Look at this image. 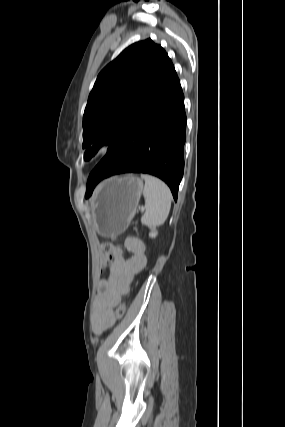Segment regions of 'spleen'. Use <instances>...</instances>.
<instances>
[{
  "mask_svg": "<svg viewBox=\"0 0 285 427\" xmlns=\"http://www.w3.org/2000/svg\"><path fill=\"white\" fill-rule=\"evenodd\" d=\"M145 181L143 196L145 198V213L141 222L147 226L162 224L171 208V191L160 179L147 174L141 175Z\"/></svg>",
  "mask_w": 285,
  "mask_h": 427,
  "instance_id": "1",
  "label": "spleen"
}]
</instances>
